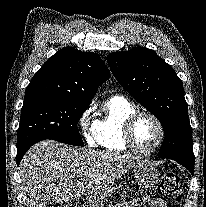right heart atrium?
<instances>
[{"mask_svg":"<svg viewBox=\"0 0 206 207\" xmlns=\"http://www.w3.org/2000/svg\"><path fill=\"white\" fill-rule=\"evenodd\" d=\"M92 111V106H88L79 117V128L81 134L90 146H94L97 143V124L92 118Z\"/></svg>","mask_w":206,"mask_h":207,"instance_id":"obj_1","label":"right heart atrium"}]
</instances>
